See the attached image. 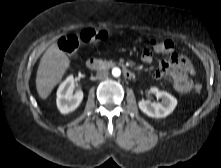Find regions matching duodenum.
Wrapping results in <instances>:
<instances>
[{
    "label": "duodenum",
    "instance_id": "1",
    "mask_svg": "<svg viewBox=\"0 0 221 168\" xmlns=\"http://www.w3.org/2000/svg\"><path fill=\"white\" fill-rule=\"evenodd\" d=\"M103 63L97 59V58H89L87 61H86V66L90 69V70H99L103 67ZM122 68V72H123V75L127 78V79H132L134 78L135 74L132 70L124 67V66H121Z\"/></svg>",
    "mask_w": 221,
    "mask_h": 168
}]
</instances>
